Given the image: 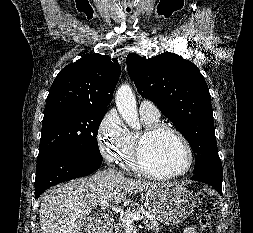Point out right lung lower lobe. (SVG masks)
<instances>
[{
    "label": "right lung lower lobe",
    "instance_id": "98d812e1",
    "mask_svg": "<svg viewBox=\"0 0 253 233\" xmlns=\"http://www.w3.org/2000/svg\"><path fill=\"white\" fill-rule=\"evenodd\" d=\"M101 163L102 159L62 152H50L38 157L35 198L51 186L93 173Z\"/></svg>",
    "mask_w": 253,
    "mask_h": 233
}]
</instances>
